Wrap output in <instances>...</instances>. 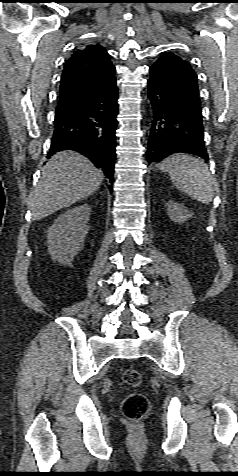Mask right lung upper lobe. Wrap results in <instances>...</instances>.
Masks as SVG:
<instances>
[{
  "label": "right lung upper lobe",
  "mask_w": 238,
  "mask_h": 476,
  "mask_svg": "<svg viewBox=\"0 0 238 476\" xmlns=\"http://www.w3.org/2000/svg\"><path fill=\"white\" fill-rule=\"evenodd\" d=\"M115 67L100 45H88L65 63L56 112L71 110L94 98L115 81Z\"/></svg>",
  "instance_id": "1"
}]
</instances>
